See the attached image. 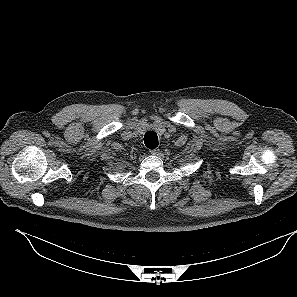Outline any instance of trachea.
<instances>
[{"mask_svg":"<svg viewBox=\"0 0 297 297\" xmlns=\"http://www.w3.org/2000/svg\"><path fill=\"white\" fill-rule=\"evenodd\" d=\"M144 143L146 147L154 149L158 146V137L154 131H148L144 135Z\"/></svg>","mask_w":297,"mask_h":297,"instance_id":"3493384b","label":"trachea"}]
</instances>
